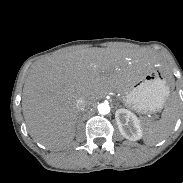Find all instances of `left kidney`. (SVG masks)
Returning a JSON list of instances; mask_svg holds the SVG:
<instances>
[{
    "instance_id": "5707ae66",
    "label": "left kidney",
    "mask_w": 183,
    "mask_h": 183,
    "mask_svg": "<svg viewBox=\"0 0 183 183\" xmlns=\"http://www.w3.org/2000/svg\"><path fill=\"white\" fill-rule=\"evenodd\" d=\"M115 120L123 137L130 141L142 138L141 122L133 112L124 108L118 109L115 112Z\"/></svg>"
}]
</instances>
